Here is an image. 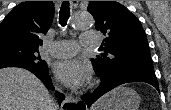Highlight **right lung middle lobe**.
I'll use <instances>...</instances> for the list:
<instances>
[{
	"label": "right lung middle lobe",
	"mask_w": 171,
	"mask_h": 110,
	"mask_svg": "<svg viewBox=\"0 0 171 110\" xmlns=\"http://www.w3.org/2000/svg\"><path fill=\"white\" fill-rule=\"evenodd\" d=\"M38 53V48L12 44L0 45V69L5 67H21L47 71V64Z\"/></svg>",
	"instance_id": "1"
}]
</instances>
